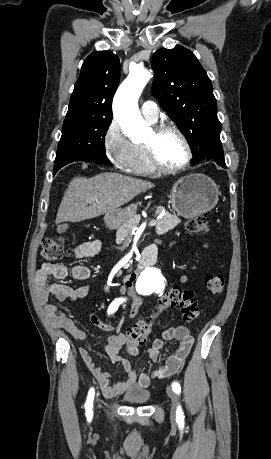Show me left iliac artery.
<instances>
[{
	"label": "left iliac artery",
	"instance_id": "left-iliac-artery-1",
	"mask_svg": "<svg viewBox=\"0 0 271 459\" xmlns=\"http://www.w3.org/2000/svg\"><path fill=\"white\" fill-rule=\"evenodd\" d=\"M172 389L176 394H180L181 392V387L178 382H173L172 383ZM177 418H182L183 419V411L181 406H178L177 413H176Z\"/></svg>",
	"mask_w": 271,
	"mask_h": 459
}]
</instances>
